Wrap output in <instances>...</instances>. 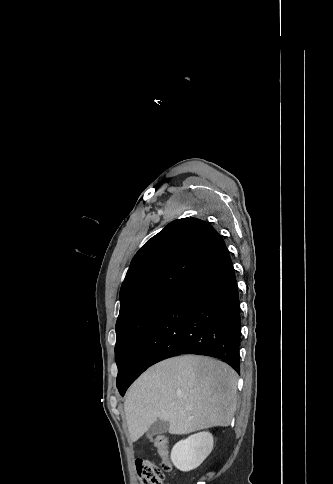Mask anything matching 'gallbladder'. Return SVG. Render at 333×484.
Listing matches in <instances>:
<instances>
[{"mask_svg":"<svg viewBox=\"0 0 333 484\" xmlns=\"http://www.w3.org/2000/svg\"><path fill=\"white\" fill-rule=\"evenodd\" d=\"M169 429V422L163 420H156L148 429L147 437L152 438L155 435H162Z\"/></svg>","mask_w":333,"mask_h":484,"instance_id":"1","label":"gallbladder"}]
</instances>
